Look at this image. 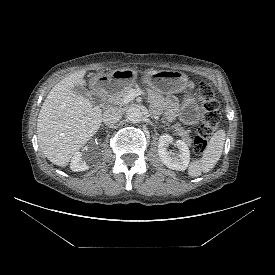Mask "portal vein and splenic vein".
<instances>
[{
  "label": "portal vein and splenic vein",
  "instance_id": "obj_1",
  "mask_svg": "<svg viewBox=\"0 0 275 275\" xmlns=\"http://www.w3.org/2000/svg\"><path fill=\"white\" fill-rule=\"evenodd\" d=\"M143 93V91L142 90H135V89H132L129 93H128V95L126 96V98H125V102L127 103V102H130L131 100H133L136 96H138V95H140V94H142Z\"/></svg>",
  "mask_w": 275,
  "mask_h": 275
}]
</instances>
